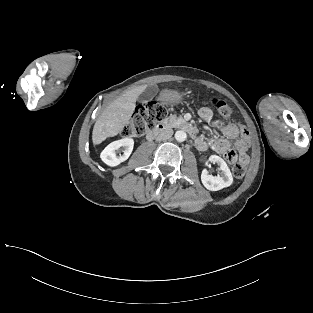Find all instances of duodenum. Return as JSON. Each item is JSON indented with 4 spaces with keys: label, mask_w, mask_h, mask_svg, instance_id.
I'll list each match as a JSON object with an SVG mask.
<instances>
[{
    "label": "duodenum",
    "mask_w": 313,
    "mask_h": 313,
    "mask_svg": "<svg viewBox=\"0 0 313 313\" xmlns=\"http://www.w3.org/2000/svg\"><path fill=\"white\" fill-rule=\"evenodd\" d=\"M171 125H175L178 128L189 133L192 137H196V130L190 123L183 119H176L170 122H163L159 124L155 129L147 134V139L153 140L157 137L162 136L170 128Z\"/></svg>",
    "instance_id": "410a0bca"
}]
</instances>
